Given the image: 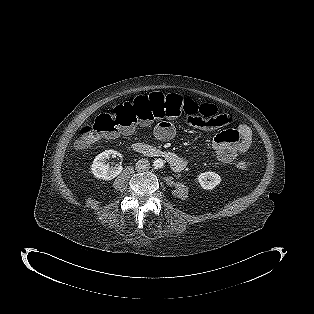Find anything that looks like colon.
Instances as JSON below:
<instances>
[{"label":"colon","instance_id":"5ec220e1","mask_svg":"<svg viewBox=\"0 0 314 314\" xmlns=\"http://www.w3.org/2000/svg\"><path fill=\"white\" fill-rule=\"evenodd\" d=\"M215 113L214 106L199 104L177 94L141 95L118 105L111 112L97 115L91 124L81 129L76 147L81 150L89 148L102 138L115 137L121 132L131 131L138 125H146L162 118H211ZM234 166L245 170L250 166V161L239 158L234 161Z\"/></svg>","mask_w":314,"mask_h":314}]
</instances>
